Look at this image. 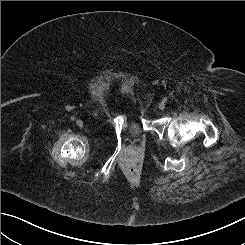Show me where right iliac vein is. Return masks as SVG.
<instances>
[{
  "mask_svg": "<svg viewBox=\"0 0 245 245\" xmlns=\"http://www.w3.org/2000/svg\"><path fill=\"white\" fill-rule=\"evenodd\" d=\"M76 124H77L79 127H82V126H83L82 120H77V121H76Z\"/></svg>",
  "mask_w": 245,
  "mask_h": 245,
  "instance_id": "1",
  "label": "right iliac vein"
}]
</instances>
